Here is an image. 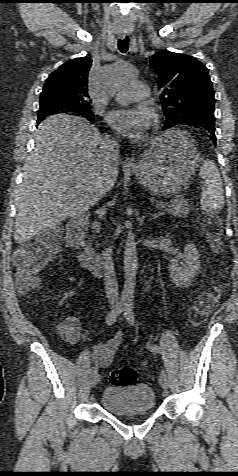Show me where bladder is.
<instances>
[{
  "instance_id": "31cf9c89",
  "label": "bladder",
  "mask_w": 238,
  "mask_h": 476,
  "mask_svg": "<svg viewBox=\"0 0 238 476\" xmlns=\"http://www.w3.org/2000/svg\"><path fill=\"white\" fill-rule=\"evenodd\" d=\"M100 403L112 415L132 416L153 411L156 398L147 384L110 385L103 390Z\"/></svg>"
}]
</instances>
